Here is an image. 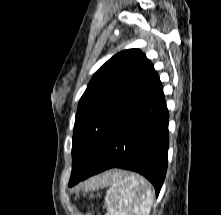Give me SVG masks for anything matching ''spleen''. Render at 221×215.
Returning a JSON list of instances; mask_svg holds the SVG:
<instances>
[{"mask_svg":"<svg viewBox=\"0 0 221 215\" xmlns=\"http://www.w3.org/2000/svg\"><path fill=\"white\" fill-rule=\"evenodd\" d=\"M106 196V215H149L153 202L151 185L143 177L115 171Z\"/></svg>","mask_w":221,"mask_h":215,"instance_id":"obj_1","label":"spleen"}]
</instances>
